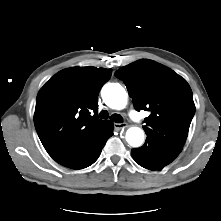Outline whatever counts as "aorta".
Segmentation results:
<instances>
[{
	"label": "aorta",
	"mask_w": 221,
	"mask_h": 221,
	"mask_svg": "<svg viewBox=\"0 0 221 221\" xmlns=\"http://www.w3.org/2000/svg\"><path fill=\"white\" fill-rule=\"evenodd\" d=\"M102 98L107 106L121 110L125 108L128 94L119 83H107L102 88ZM126 141L132 147H139L144 142V132L139 127H131L126 132Z\"/></svg>",
	"instance_id": "1"
}]
</instances>
